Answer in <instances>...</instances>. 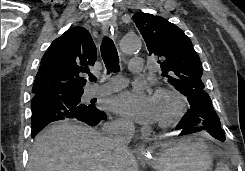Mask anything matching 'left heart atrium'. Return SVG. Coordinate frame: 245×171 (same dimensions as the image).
<instances>
[{
	"instance_id": "obj_1",
	"label": "left heart atrium",
	"mask_w": 245,
	"mask_h": 171,
	"mask_svg": "<svg viewBox=\"0 0 245 171\" xmlns=\"http://www.w3.org/2000/svg\"><path fill=\"white\" fill-rule=\"evenodd\" d=\"M111 107L137 123H152L158 120L155 97L143 87H136L118 94L113 98Z\"/></svg>"
}]
</instances>
